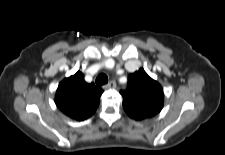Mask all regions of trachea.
<instances>
[{
    "label": "trachea",
    "mask_w": 225,
    "mask_h": 155,
    "mask_svg": "<svg viewBox=\"0 0 225 155\" xmlns=\"http://www.w3.org/2000/svg\"><path fill=\"white\" fill-rule=\"evenodd\" d=\"M108 83V77L105 74H100L96 78V85L102 86L104 84Z\"/></svg>",
    "instance_id": "3493384b"
}]
</instances>
